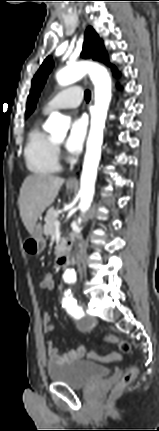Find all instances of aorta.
I'll use <instances>...</instances> for the list:
<instances>
[{
    "label": "aorta",
    "instance_id": "aorta-1",
    "mask_svg": "<svg viewBox=\"0 0 159 431\" xmlns=\"http://www.w3.org/2000/svg\"><path fill=\"white\" fill-rule=\"evenodd\" d=\"M86 74L90 76L95 87V104L91 111V128L81 174L79 208L82 214L88 211L94 196L97 167L103 143V128L111 100V77L105 67L92 62L68 65L56 74L57 82L61 86L73 84ZM45 129L56 137H62L68 130V123L64 116L54 112L47 120ZM63 279L66 282L74 281L76 279L75 270L67 269L63 274Z\"/></svg>",
    "mask_w": 159,
    "mask_h": 431
}]
</instances>
